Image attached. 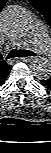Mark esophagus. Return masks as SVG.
Segmentation results:
<instances>
[{"label":"esophagus","mask_w":51,"mask_h":153,"mask_svg":"<svg viewBox=\"0 0 51 153\" xmlns=\"http://www.w3.org/2000/svg\"><path fill=\"white\" fill-rule=\"evenodd\" d=\"M32 59H33V57H21L20 61L28 62V61H30Z\"/></svg>","instance_id":"1"}]
</instances>
